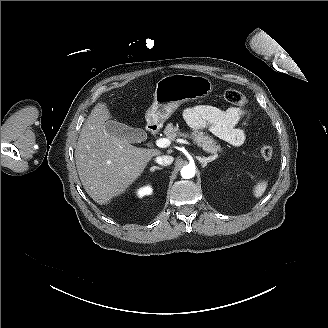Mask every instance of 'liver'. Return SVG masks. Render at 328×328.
I'll use <instances>...</instances> for the list:
<instances>
[{"label": "liver", "instance_id": "6515ba94", "mask_svg": "<svg viewBox=\"0 0 328 328\" xmlns=\"http://www.w3.org/2000/svg\"><path fill=\"white\" fill-rule=\"evenodd\" d=\"M114 116L100 101L84 123L75 150L76 167L87 194L98 204L111 206L140 178L153 157L163 151L143 149L105 133Z\"/></svg>", "mask_w": 328, "mask_h": 328}]
</instances>
